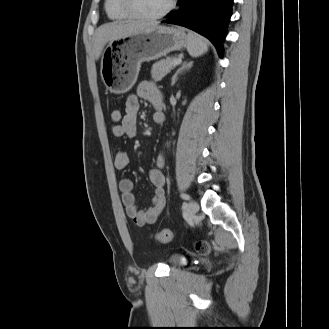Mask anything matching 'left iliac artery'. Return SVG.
Masks as SVG:
<instances>
[{"label": "left iliac artery", "instance_id": "1", "mask_svg": "<svg viewBox=\"0 0 329 329\" xmlns=\"http://www.w3.org/2000/svg\"><path fill=\"white\" fill-rule=\"evenodd\" d=\"M181 198L182 199H185V200H189L190 199L189 195L188 194H185V193H182L181 194Z\"/></svg>", "mask_w": 329, "mask_h": 329}]
</instances>
